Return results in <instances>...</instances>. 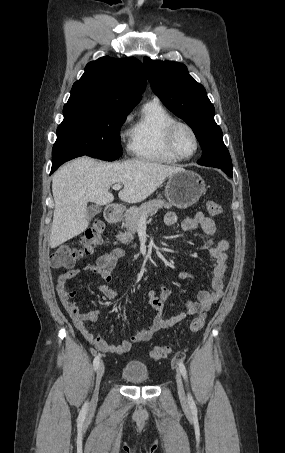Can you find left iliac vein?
<instances>
[{
  "label": "left iliac vein",
  "instance_id": "left-iliac-vein-1",
  "mask_svg": "<svg viewBox=\"0 0 285 453\" xmlns=\"http://www.w3.org/2000/svg\"><path fill=\"white\" fill-rule=\"evenodd\" d=\"M175 378H176V384H177V391H178L179 399H180L182 404H186L187 403V399H186V395H185V391H184L182 377H181L179 372L176 373V377Z\"/></svg>",
  "mask_w": 285,
  "mask_h": 453
}]
</instances>
